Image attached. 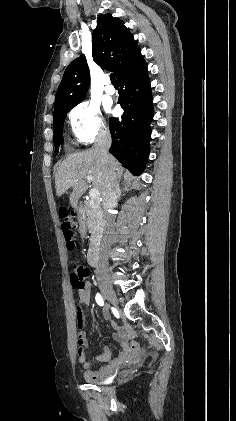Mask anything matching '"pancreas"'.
<instances>
[{"label":"pancreas","instance_id":"cf45deb5","mask_svg":"<svg viewBox=\"0 0 236 421\" xmlns=\"http://www.w3.org/2000/svg\"><path fill=\"white\" fill-rule=\"evenodd\" d=\"M85 217L87 227L91 233L90 249H98L103 233V211L98 204H90V200L85 202Z\"/></svg>","mask_w":236,"mask_h":421}]
</instances>
